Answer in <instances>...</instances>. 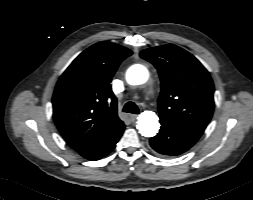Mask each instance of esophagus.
Instances as JSON below:
<instances>
[{
    "label": "esophagus",
    "instance_id": "obj_1",
    "mask_svg": "<svg viewBox=\"0 0 253 200\" xmlns=\"http://www.w3.org/2000/svg\"><path fill=\"white\" fill-rule=\"evenodd\" d=\"M130 119L132 120V121H135L136 119H137V115L136 114H130Z\"/></svg>",
    "mask_w": 253,
    "mask_h": 200
}]
</instances>
